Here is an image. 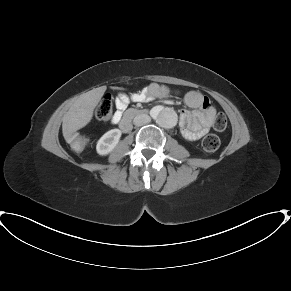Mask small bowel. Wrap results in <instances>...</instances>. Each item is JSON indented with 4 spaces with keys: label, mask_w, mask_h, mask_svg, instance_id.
<instances>
[{
    "label": "small bowel",
    "mask_w": 291,
    "mask_h": 291,
    "mask_svg": "<svg viewBox=\"0 0 291 291\" xmlns=\"http://www.w3.org/2000/svg\"><path fill=\"white\" fill-rule=\"evenodd\" d=\"M172 95L169 87L151 84L145 92L131 96L135 102H142L154 98H165ZM184 102L191 110L180 113V127L182 135L188 140H198L205 135L213 123L216 108L209 99L198 90H190L184 95ZM128 98L121 97L116 101L117 111L113 122H118L127 108Z\"/></svg>",
    "instance_id": "small-bowel-1"
}]
</instances>
